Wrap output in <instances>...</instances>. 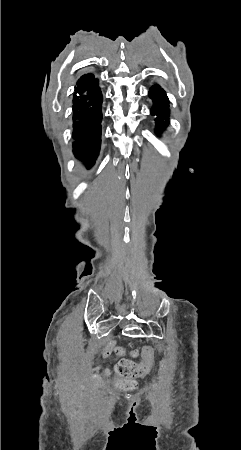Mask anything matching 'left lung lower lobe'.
Masks as SVG:
<instances>
[{
    "instance_id": "0a47b994",
    "label": "left lung lower lobe",
    "mask_w": 241,
    "mask_h": 450,
    "mask_svg": "<svg viewBox=\"0 0 241 450\" xmlns=\"http://www.w3.org/2000/svg\"><path fill=\"white\" fill-rule=\"evenodd\" d=\"M149 96L152 98L154 103L151 109V114L157 115L155 121L157 123V128L161 129L168 124L167 120V118L169 117L168 98L163 89H161L158 85H155L150 89Z\"/></svg>"
}]
</instances>
